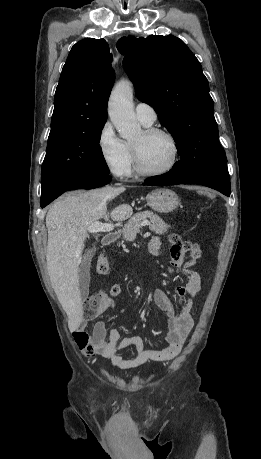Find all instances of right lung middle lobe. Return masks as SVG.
<instances>
[{"label": "right lung middle lobe", "mask_w": 261, "mask_h": 459, "mask_svg": "<svg viewBox=\"0 0 261 459\" xmlns=\"http://www.w3.org/2000/svg\"><path fill=\"white\" fill-rule=\"evenodd\" d=\"M104 124L49 136L41 171V199L70 180L109 175L99 146Z\"/></svg>", "instance_id": "1"}]
</instances>
